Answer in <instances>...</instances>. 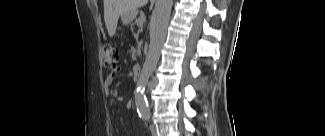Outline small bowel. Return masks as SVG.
Masks as SVG:
<instances>
[{
    "label": "small bowel",
    "mask_w": 325,
    "mask_h": 136,
    "mask_svg": "<svg viewBox=\"0 0 325 136\" xmlns=\"http://www.w3.org/2000/svg\"><path fill=\"white\" fill-rule=\"evenodd\" d=\"M116 73L117 72H112V73H110L108 76H107V78H106V80H105V87H106V89H109V87L111 86V84H112V82H113V80H114V78H115V76H116Z\"/></svg>",
    "instance_id": "1"
}]
</instances>
